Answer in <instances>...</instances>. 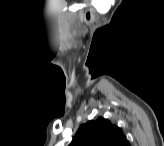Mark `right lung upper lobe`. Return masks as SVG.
<instances>
[{
  "mask_svg": "<svg viewBox=\"0 0 164 146\" xmlns=\"http://www.w3.org/2000/svg\"><path fill=\"white\" fill-rule=\"evenodd\" d=\"M69 146H129L122 131L100 117L79 127Z\"/></svg>",
  "mask_w": 164,
  "mask_h": 146,
  "instance_id": "cb5924a9",
  "label": "right lung upper lobe"
}]
</instances>
